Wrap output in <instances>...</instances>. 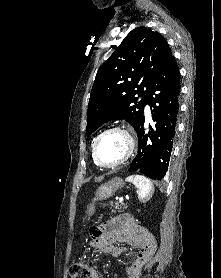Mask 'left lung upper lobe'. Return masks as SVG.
I'll use <instances>...</instances> for the list:
<instances>
[{
  "mask_svg": "<svg viewBox=\"0 0 221 278\" xmlns=\"http://www.w3.org/2000/svg\"><path fill=\"white\" fill-rule=\"evenodd\" d=\"M172 57L160 33L146 27L132 30L97 72L88 105L87 135L117 119H126L137 130L146 96ZM135 94L142 97L139 102Z\"/></svg>",
  "mask_w": 221,
  "mask_h": 278,
  "instance_id": "1",
  "label": "left lung upper lobe"
}]
</instances>
